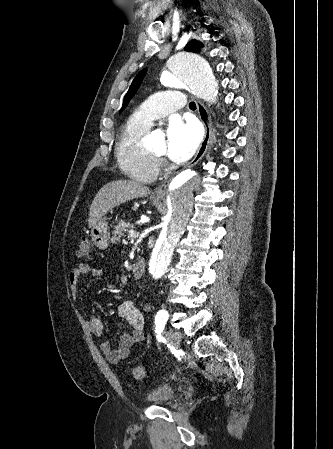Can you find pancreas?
Segmentation results:
<instances>
[{"mask_svg": "<svg viewBox=\"0 0 333 449\" xmlns=\"http://www.w3.org/2000/svg\"><path fill=\"white\" fill-rule=\"evenodd\" d=\"M132 227L133 226L129 222L121 220L113 231V237L111 239L112 243L120 242V239L124 236V232H127L128 229ZM128 240H132V238L128 236Z\"/></svg>", "mask_w": 333, "mask_h": 449, "instance_id": "obj_1", "label": "pancreas"}]
</instances>
